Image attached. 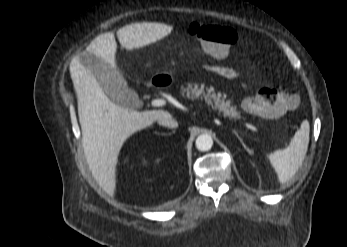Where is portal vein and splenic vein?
I'll return each instance as SVG.
<instances>
[{
  "instance_id": "portal-vein-and-splenic-vein-1",
  "label": "portal vein and splenic vein",
  "mask_w": 347,
  "mask_h": 247,
  "mask_svg": "<svg viewBox=\"0 0 347 247\" xmlns=\"http://www.w3.org/2000/svg\"><path fill=\"white\" fill-rule=\"evenodd\" d=\"M151 104H152V106L160 107V106L165 105V104H166V101L163 100V99H154V100H152ZM245 126H246L248 129H250V130H252V131H254V132H259L258 128L255 127V126L252 125V124L245 123Z\"/></svg>"
}]
</instances>
